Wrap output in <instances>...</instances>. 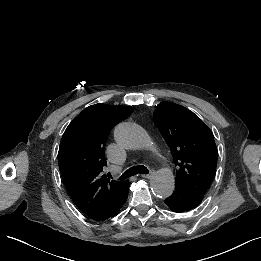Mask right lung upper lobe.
<instances>
[{
  "instance_id": "obj_1",
  "label": "right lung upper lobe",
  "mask_w": 261,
  "mask_h": 261,
  "mask_svg": "<svg viewBox=\"0 0 261 261\" xmlns=\"http://www.w3.org/2000/svg\"><path fill=\"white\" fill-rule=\"evenodd\" d=\"M132 112L131 106L91 105L62 136L59 169L71 199L88 217L114 204L127 191L128 182L110 180L103 174L104 148L111 129Z\"/></svg>"
}]
</instances>
